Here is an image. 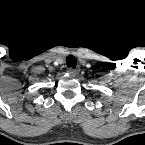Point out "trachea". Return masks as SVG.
<instances>
[{"instance_id": "trachea-1", "label": "trachea", "mask_w": 145, "mask_h": 145, "mask_svg": "<svg viewBox=\"0 0 145 145\" xmlns=\"http://www.w3.org/2000/svg\"><path fill=\"white\" fill-rule=\"evenodd\" d=\"M66 64L68 67L75 68L77 65V59L73 55H69L66 58Z\"/></svg>"}]
</instances>
